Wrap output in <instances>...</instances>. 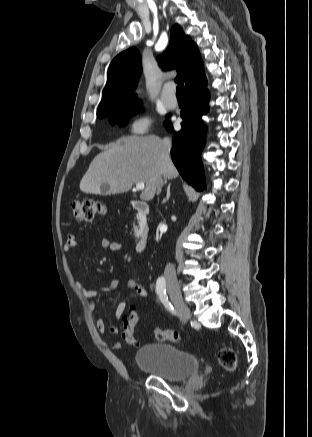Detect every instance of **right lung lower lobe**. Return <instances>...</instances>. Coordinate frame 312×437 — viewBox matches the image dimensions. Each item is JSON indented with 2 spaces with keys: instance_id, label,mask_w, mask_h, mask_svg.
I'll list each match as a JSON object with an SVG mask.
<instances>
[{
  "instance_id": "1",
  "label": "right lung lower lobe",
  "mask_w": 312,
  "mask_h": 437,
  "mask_svg": "<svg viewBox=\"0 0 312 437\" xmlns=\"http://www.w3.org/2000/svg\"><path fill=\"white\" fill-rule=\"evenodd\" d=\"M206 86V77L203 76L185 88L187 106L181 110L182 128L174 134L171 150V158L180 175L198 191L205 188L200 151L207 130L202 123V116L209 110V93ZM165 126L169 131H173L170 122L166 121Z\"/></svg>"
}]
</instances>
